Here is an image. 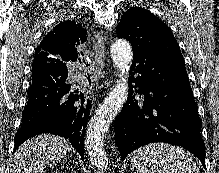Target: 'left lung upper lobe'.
I'll return each mask as SVG.
<instances>
[{
  "label": "left lung upper lobe",
  "mask_w": 219,
  "mask_h": 173,
  "mask_svg": "<svg viewBox=\"0 0 219 173\" xmlns=\"http://www.w3.org/2000/svg\"><path fill=\"white\" fill-rule=\"evenodd\" d=\"M117 35L128 39L134 53L150 55L169 62L184 63L170 28L141 7L127 10L117 26Z\"/></svg>",
  "instance_id": "1"
}]
</instances>
